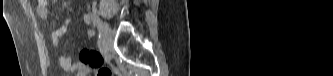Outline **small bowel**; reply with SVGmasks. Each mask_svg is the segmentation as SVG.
Listing matches in <instances>:
<instances>
[{
	"label": "small bowel",
	"instance_id": "obj_1",
	"mask_svg": "<svg viewBox=\"0 0 333 76\" xmlns=\"http://www.w3.org/2000/svg\"><path fill=\"white\" fill-rule=\"evenodd\" d=\"M55 0H40L37 2L36 12L39 17L47 18L50 15V8L55 3ZM84 20L87 24L91 23V18L84 15ZM69 27V20L64 19L54 29L51 40L52 46L58 50L66 35ZM89 37H93L95 32L93 29L87 31ZM78 61H73L71 56L60 55L59 64L66 71H76L78 76H85L88 68L97 69L98 71L105 69L101 67L104 58L101 54L91 50L90 47L83 45L80 48V56ZM98 73V72H97Z\"/></svg>",
	"mask_w": 333,
	"mask_h": 76
}]
</instances>
